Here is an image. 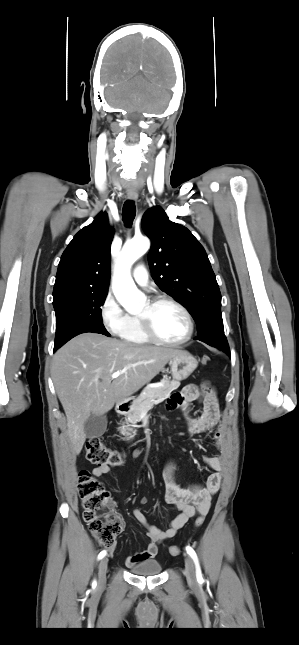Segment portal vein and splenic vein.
<instances>
[{"label": "portal vein and splenic vein", "mask_w": 299, "mask_h": 645, "mask_svg": "<svg viewBox=\"0 0 299 645\" xmlns=\"http://www.w3.org/2000/svg\"><path fill=\"white\" fill-rule=\"evenodd\" d=\"M123 373H124V371H116V372L112 373L111 377L113 379H115V378L119 377Z\"/></svg>", "instance_id": "obj_1"}]
</instances>
